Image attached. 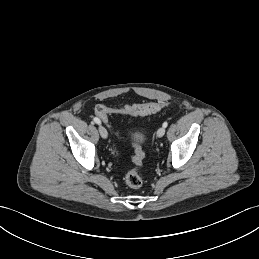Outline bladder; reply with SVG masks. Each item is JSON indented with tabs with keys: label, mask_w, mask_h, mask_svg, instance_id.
<instances>
[{
	"label": "bladder",
	"mask_w": 259,
	"mask_h": 259,
	"mask_svg": "<svg viewBox=\"0 0 259 259\" xmlns=\"http://www.w3.org/2000/svg\"><path fill=\"white\" fill-rule=\"evenodd\" d=\"M133 137H134L135 141H137V142H143L145 140L144 134H142L140 132H135L133 134Z\"/></svg>",
	"instance_id": "bladder-1"
}]
</instances>
